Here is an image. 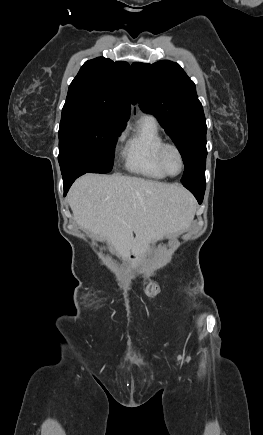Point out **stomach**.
<instances>
[{
  "mask_svg": "<svg viewBox=\"0 0 263 435\" xmlns=\"http://www.w3.org/2000/svg\"><path fill=\"white\" fill-rule=\"evenodd\" d=\"M184 207H190V203H185L184 205H183Z\"/></svg>",
  "mask_w": 263,
  "mask_h": 435,
  "instance_id": "0dacf381",
  "label": "stomach"
}]
</instances>
